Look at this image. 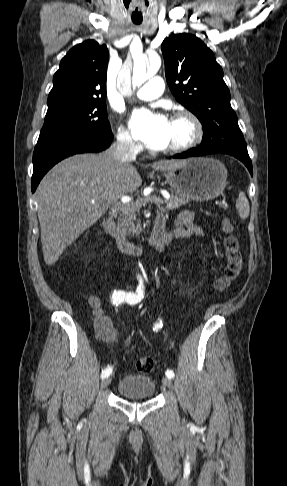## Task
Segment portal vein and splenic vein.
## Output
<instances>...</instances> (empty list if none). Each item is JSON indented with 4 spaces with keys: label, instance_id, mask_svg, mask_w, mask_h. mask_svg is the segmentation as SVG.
Returning a JSON list of instances; mask_svg holds the SVG:
<instances>
[{
    "label": "portal vein and splenic vein",
    "instance_id": "1",
    "mask_svg": "<svg viewBox=\"0 0 287 486\" xmlns=\"http://www.w3.org/2000/svg\"><path fill=\"white\" fill-rule=\"evenodd\" d=\"M167 198V196H165ZM169 197V196H168ZM131 199L129 197H122L121 201L122 203H117L114 205L115 209L117 210H121L123 205L127 202H129ZM146 202H151V203H155L157 205H162L164 203L163 199L159 196H156V195H153V196H150V197H147L146 199H144L143 201L140 202V204H143V203H146ZM92 203H95V201H92Z\"/></svg>",
    "mask_w": 287,
    "mask_h": 486
}]
</instances>
